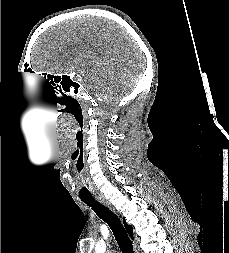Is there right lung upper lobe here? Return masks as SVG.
<instances>
[{"mask_svg":"<svg viewBox=\"0 0 229 253\" xmlns=\"http://www.w3.org/2000/svg\"><path fill=\"white\" fill-rule=\"evenodd\" d=\"M124 226L128 232V234L131 236V238H133V231H132V226L126 224L125 220H124Z\"/></svg>","mask_w":229,"mask_h":253,"instance_id":"right-lung-upper-lobe-1","label":"right lung upper lobe"}]
</instances>
